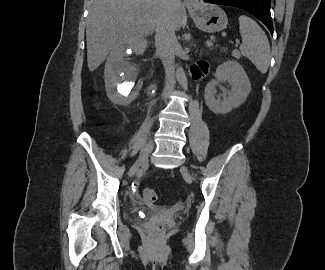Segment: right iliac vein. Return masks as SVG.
Wrapping results in <instances>:
<instances>
[{
  "mask_svg": "<svg viewBox=\"0 0 325 270\" xmlns=\"http://www.w3.org/2000/svg\"><path fill=\"white\" fill-rule=\"evenodd\" d=\"M153 147H154V142L151 139V140L148 141V143L142 149V151L140 152V155H139L137 161L131 167V169L129 171V175L130 176H132L138 170V168L140 167V165L148 159V156L152 152Z\"/></svg>",
  "mask_w": 325,
  "mask_h": 270,
  "instance_id": "obj_1",
  "label": "right iliac vein"
}]
</instances>
